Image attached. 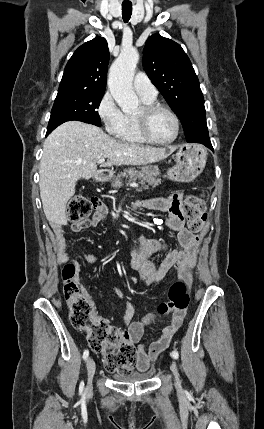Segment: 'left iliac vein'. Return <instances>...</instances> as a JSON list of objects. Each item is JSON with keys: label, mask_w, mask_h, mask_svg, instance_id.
<instances>
[{"label": "left iliac vein", "mask_w": 264, "mask_h": 429, "mask_svg": "<svg viewBox=\"0 0 264 429\" xmlns=\"http://www.w3.org/2000/svg\"><path fill=\"white\" fill-rule=\"evenodd\" d=\"M170 369H171V371H172V373L174 375L175 383L177 385L180 384L179 373H178L177 365H176L175 361L172 362Z\"/></svg>", "instance_id": "obj_1"}]
</instances>
